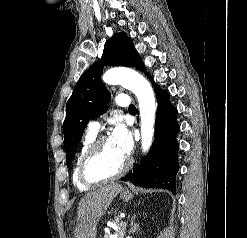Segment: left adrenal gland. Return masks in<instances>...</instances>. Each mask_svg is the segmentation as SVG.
<instances>
[{
	"mask_svg": "<svg viewBox=\"0 0 247 238\" xmlns=\"http://www.w3.org/2000/svg\"><path fill=\"white\" fill-rule=\"evenodd\" d=\"M130 233H135L137 232L138 228H139V224L135 223V216L133 218H131V221H130Z\"/></svg>",
	"mask_w": 247,
	"mask_h": 238,
	"instance_id": "left-adrenal-gland-1",
	"label": "left adrenal gland"
}]
</instances>
